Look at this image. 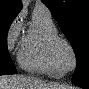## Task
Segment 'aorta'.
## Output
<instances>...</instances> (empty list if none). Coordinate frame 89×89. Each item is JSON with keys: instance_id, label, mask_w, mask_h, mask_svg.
<instances>
[{"instance_id": "762f6f07", "label": "aorta", "mask_w": 89, "mask_h": 89, "mask_svg": "<svg viewBox=\"0 0 89 89\" xmlns=\"http://www.w3.org/2000/svg\"><path fill=\"white\" fill-rule=\"evenodd\" d=\"M23 4H24V6H28L29 5V1L28 0L23 1Z\"/></svg>"}]
</instances>
